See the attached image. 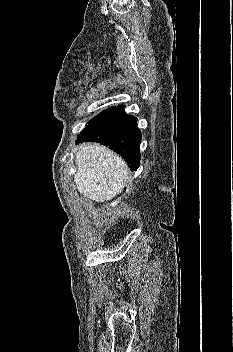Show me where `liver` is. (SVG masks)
I'll return each instance as SVG.
<instances>
[{"instance_id":"liver-1","label":"liver","mask_w":233,"mask_h":352,"mask_svg":"<svg viewBox=\"0 0 233 352\" xmlns=\"http://www.w3.org/2000/svg\"><path fill=\"white\" fill-rule=\"evenodd\" d=\"M78 171L74 181L78 191L96 202L111 200L120 194L129 178L126 162L99 144H84L75 155Z\"/></svg>"}]
</instances>
